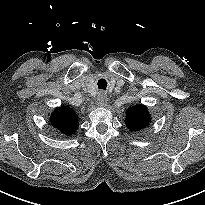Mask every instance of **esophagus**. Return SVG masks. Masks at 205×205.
Segmentation results:
<instances>
[{"label": "esophagus", "mask_w": 205, "mask_h": 205, "mask_svg": "<svg viewBox=\"0 0 205 205\" xmlns=\"http://www.w3.org/2000/svg\"><path fill=\"white\" fill-rule=\"evenodd\" d=\"M108 101L107 95L105 93H99L96 99V105L99 107L106 106Z\"/></svg>", "instance_id": "esophagus-1"}]
</instances>
